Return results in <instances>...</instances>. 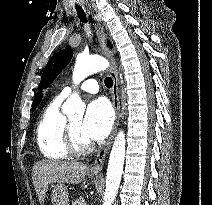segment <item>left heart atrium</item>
Instances as JSON below:
<instances>
[{
    "label": "left heart atrium",
    "instance_id": "1",
    "mask_svg": "<svg viewBox=\"0 0 212 205\" xmlns=\"http://www.w3.org/2000/svg\"><path fill=\"white\" fill-rule=\"evenodd\" d=\"M113 119L109 103L104 99L94 100L87 107L81 133L88 141H100L109 134Z\"/></svg>",
    "mask_w": 212,
    "mask_h": 205
}]
</instances>
